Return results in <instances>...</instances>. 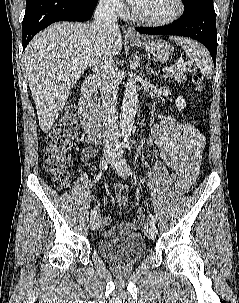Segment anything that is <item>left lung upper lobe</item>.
<instances>
[{
  "mask_svg": "<svg viewBox=\"0 0 239 303\" xmlns=\"http://www.w3.org/2000/svg\"><path fill=\"white\" fill-rule=\"evenodd\" d=\"M183 1H184V10L190 9L193 6L198 5L200 2L213 3L212 0H183Z\"/></svg>",
  "mask_w": 239,
  "mask_h": 303,
  "instance_id": "obj_1",
  "label": "left lung upper lobe"
}]
</instances>
